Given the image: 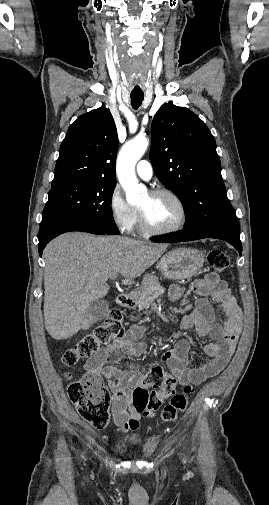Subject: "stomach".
Here are the masks:
<instances>
[{"label":"stomach","instance_id":"0dacf381","mask_svg":"<svg viewBox=\"0 0 269 505\" xmlns=\"http://www.w3.org/2000/svg\"><path fill=\"white\" fill-rule=\"evenodd\" d=\"M204 254L192 248L175 249L164 255L157 264V268L165 278L183 280L195 276L202 268ZM158 284V278L148 274L142 288H149Z\"/></svg>","mask_w":269,"mask_h":505}]
</instances>
